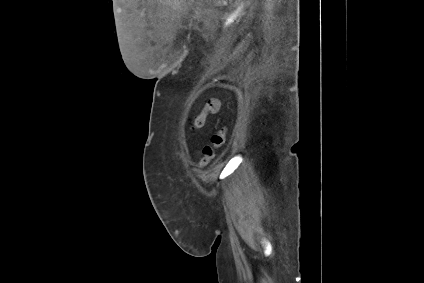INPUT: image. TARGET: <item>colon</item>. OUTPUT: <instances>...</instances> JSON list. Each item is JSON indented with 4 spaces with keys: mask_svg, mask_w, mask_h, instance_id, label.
I'll list each match as a JSON object with an SVG mask.
<instances>
[{
    "mask_svg": "<svg viewBox=\"0 0 424 283\" xmlns=\"http://www.w3.org/2000/svg\"><path fill=\"white\" fill-rule=\"evenodd\" d=\"M220 110V101L218 99H209L200 114L196 115L192 121V129L197 130L204 126L206 119L215 115ZM226 139L225 129L221 128L214 132L211 136L210 144L204 146L203 157L197 163L198 168H204L214 158L215 152L219 149Z\"/></svg>",
    "mask_w": 424,
    "mask_h": 283,
    "instance_id": "1",
    "label": "colon"
}]
</instances>
